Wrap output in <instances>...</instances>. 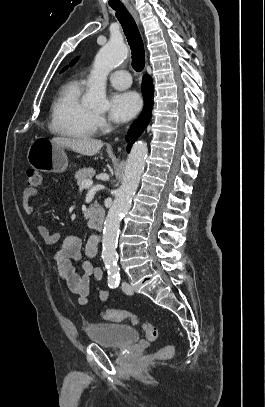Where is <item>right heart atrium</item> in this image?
Returning a JSON list of instances; mask_svg holds the SVG:
<instances>
[{
	"label": "right heart atrium",
	"mask_w": 265,
	"mask_h": 407,
	"mask_svg": "<svg viewBox=\"0 0 265 407\" xmlns=\"http://www.w3.org/2000/svg\"><path fill=\"white\" fill-rule=\"evenodd\" d=\"M95 123H96L97 127H100V128L106 127V121L103 118V116H101V115H96L95 116Z\"/></svg>",
	"instance_id": "d8ad5b80"
}]
</instances>
